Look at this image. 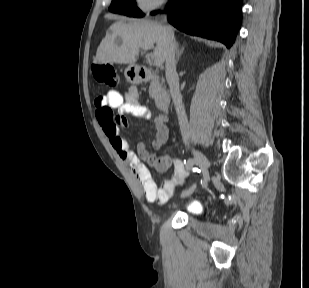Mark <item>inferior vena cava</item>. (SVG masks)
<instances>
[{"mask_svg": "<svg viewBox=\"0 0 309 288\" xmlns=\"http://www.w3.org/2000/svg\"><path fill=\"white\" fill-rule=\"evenodd\" d=\"M166 21L164 17L163 22ZM164 30L167 37V50L165 58V73L166 79L170 88L171 97L176 109L179 126L183 141L186 143L189 139L188 119L185 112V108L182 101V95L179 89V77L176 72L175 61V38L173 30L170 26L164 25Z\"/></svg>", "mask_w": 309, "mask_h": 288, "instance_id": "1", "label": "inferior vena cava"}]
</instances>
